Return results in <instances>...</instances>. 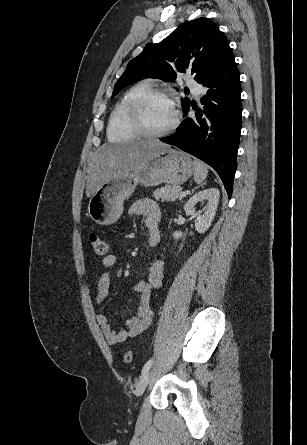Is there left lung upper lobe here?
Returning <instances> with one entry per match:
<instances>
[{
  "instance_id": "left-lung-upper-lobe-1",
  "label": "left lung upper lobe",
  "mask_w": 307,
  "mask_h": 445,
  "mask_svg": "<svg viewBox=\"0 0 307 445\" xmlns=\"http://www.w3.org/2000/svg\"><path fill=\"white\" fill-rule=\"evenodd\" d=\"M232 57L228 41L217 26L208 18H197L179 26L161 42L146 46L128 63L112 95L143 78L173 81L179 72H191L202 84ZM181 105L185 113L190 99H182Z\"/></svg>"
}]
</instances>
